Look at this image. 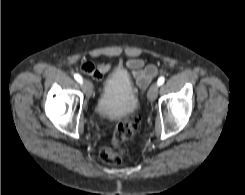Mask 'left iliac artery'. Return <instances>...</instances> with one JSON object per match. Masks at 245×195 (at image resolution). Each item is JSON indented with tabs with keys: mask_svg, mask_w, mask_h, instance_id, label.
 I'll return each mask as SVG.
<instances>
[{
	"mask_svg": "<svg viewBox=\"0 0 245 195\" xmlns=\"http://www.w3.org/2000/svg\"><path fill=\"white\" fill-rule=\"evenodd\" d=\"M164 81H165V78H164L163 76H161V77L158 79V81H157L158 86H161V85L164 83Z\"/></svg>",
	"mask_w": 245,
	"mask_h": 195,
	"instance_id": "1",
	"label": "left iliac artery"
}]
</instances>
